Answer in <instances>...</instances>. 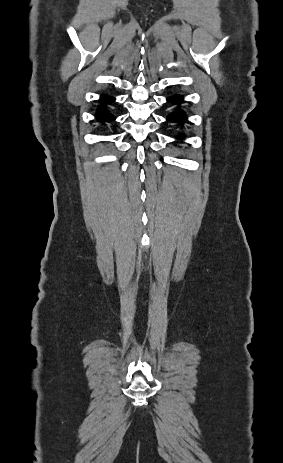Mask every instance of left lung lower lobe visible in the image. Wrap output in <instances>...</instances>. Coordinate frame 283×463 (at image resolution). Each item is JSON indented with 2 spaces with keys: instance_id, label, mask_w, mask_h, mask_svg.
I'll use <instances>...</instances> for the list:
<instances>
[{
  "instance_id": "obj_1",
  "label": "left lung lower lobe",
  "mask_w": 283,
  "mask_h": 463,
  "mask_svg": "<svg viewBox=\"0 0 283 463\" xmlns=\"http://www.w3.org/2000/svg\"><path fill=\"white\" fill-rule=\"evenodd\" d=\"M183 98L180 95L169 97L167 101L174 103V104H180L182 102ZM167 120L171 122H176V123H183L186 121V115L183 111L178 110L175 113L170 114L167 116Z\"/></svg>"
}]
</instances>
